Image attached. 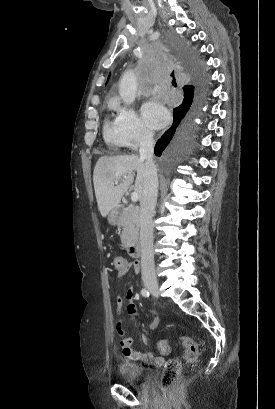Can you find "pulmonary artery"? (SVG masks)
<instances>
[{
	"label": "pulmonary artery",
	"instance_id": "obj_1",
	"mask_svg": "<svg viewBox=\"0 0 275 409\" xmlns=\"http://www.w3.org/2000/svg\"><path fill=\"white\" fill-rule=\"evenodd\" d=\"M152 94H159L160 93V87L159 86H153L151 90Z\"/></svg>",
	"mask_w": 275,
	"mask_h": 409
}]
</instances>
